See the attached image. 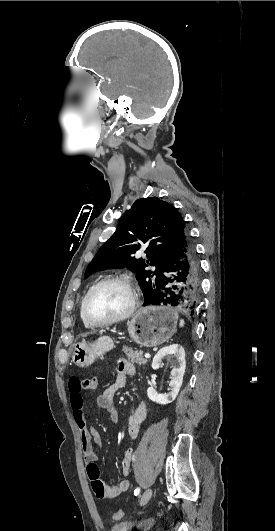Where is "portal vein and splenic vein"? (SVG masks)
Segmentation results:
<instances>
[{
    "label": "portal vein and splenic vein",
    "mask_w": 275,
    "mask_h": 531,
    "mask_svg": "<svg viewBox=\"0 0 275 531\" xmlns=\"http://www.w3.org/2000/svg\"><path fill=\"white\" fill-rule=\"evenodd\" d=\"M145 359H150L151 355H149V353H146V355H144Z\"/></svg>",
    "instance_id": "obj_1"
}]
</instances>
